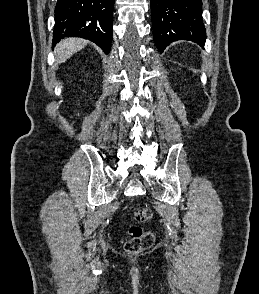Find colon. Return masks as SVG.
Returning a JSON list of instances; mask_svg holds the SVG:
<instances>
[{
	"instance_id": "obj_1",
	"label": "colon",
	"mask_w": 259,
	"mask_h": 294,
	"mask_svg": "<svg viewBox=\"0 0 259 294\" xmlns=\"http://www.w3.org/2000/svg\"><path fill=\"white\" fill-rule=\"evenodd\" d=\"M133 219L138 224L148 221L151 210L148 207L138 206L132 210ZM154 242V235L149 230L142 229L139 225H133L129 229V236L125 242V250L129 253H138L148 249Z\"/></svg>"
}]
</instances>
